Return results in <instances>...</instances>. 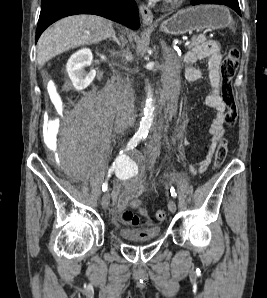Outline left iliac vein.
<instances>
[{
	"mask_svg": "<svg viewBox=\"0 0 267 298\" xmlns=\"http://www.w3.org/2000/svg\"><path fill=\"white\" fill-rule=\"evenodd\" d=\"M168 209L170 210V212L175 213L176 212V203L173 199L168 201Z\"/></svg>",
	"mask_w": 267,
	"mask_h": 298,
	"instance_id": "left-iliac-vein-1",
	"label": "left iliac vein"
}]
</instances>
